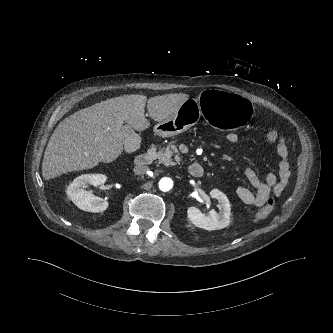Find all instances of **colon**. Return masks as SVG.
<instances>
[{
    "label": "colon",
    "instance_id": "5ec220e1",
    "mask_svg": "<svg viewBox=\"0 0 333 333\" xmlns=\"http://www.w3.org/2000/svg\"><path fill=\"white\" fill-rule=\"evenodd\" d=\"M266 140L270 143H275L279 140V133L276 130H270L266 134ZM275 202L273 199L266 200L263 207L258 211L256 218L258 220L266 218L274 209Z\"/></svg>",
    "mask_w": 333,
    "mask_h": 333
}]
</instances>
